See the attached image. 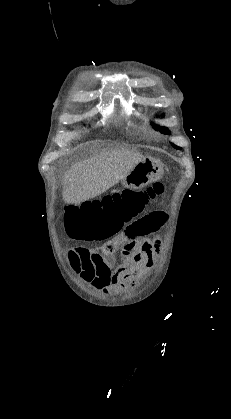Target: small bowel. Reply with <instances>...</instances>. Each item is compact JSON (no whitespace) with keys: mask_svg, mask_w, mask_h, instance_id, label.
Returning <instances> with one entry per match:
<instances>
[{"mask_svg":"<svg viewBox=\"0 0 231 419\" xmlns=\"http://www.w3.org/2000/svg\"><path fill=\"white\" fill-rule=\"evenodd\" d=\"M165 221L164 212L148 214L131 222L115 239L96 249L72 248L67 253L70 267L92 288L120 292L125 282L134 285L145 269L154 266L161 243L152 241L148 235L156 232ZM117 251L121 256L120 264L116 262Z\"/></svg>","mask_w":231,"mask_h":419,"instance_id":"c3829d8e","label":"small bowel"}]
</instances>
